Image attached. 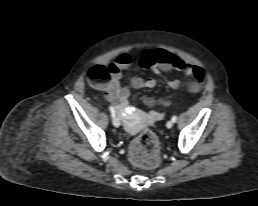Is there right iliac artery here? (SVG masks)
I'll use <instances>...</instances> for the list:
<instances>
[{
	"label": "right iliac artery",
	"mask_w": 258,
	"mask_h": 206,
	"mask_svg": "<svg viewBox=\"0 0 258 206\" xmlns=\"http://www.w3.org/2000/svg\"><path fill=\"white\" fill-rule=\"evenodd\" d=\"M109 110H110L111 116L113 118L115 116V110H114V108L112 106H109Z\"/></svg>",
	"instance_id": "obj_1"
}]
</instances>
